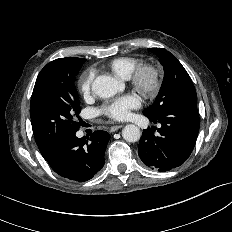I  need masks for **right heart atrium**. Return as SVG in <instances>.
I'll use <instances>...</instances> for the list:
<instances>
[{
	"instance_id": "d8ad5b80",
	"label": "right heart atrium",
	"mask_w": 232,
	"mask_h": 232,
	"mask_svg": "<svg viewBox=\"0 0 232 232\" xmlns=\"http://www.w3.org/2000/svg\"><path fill=\"white\" fill-rule=\"evenodd\" d=\"M95 78L93 70H88L79 79V89L83 94H89Z\"/></svg>"
}]
</instances>
